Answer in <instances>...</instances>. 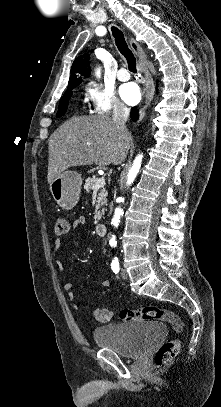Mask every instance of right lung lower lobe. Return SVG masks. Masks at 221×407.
<instances>
[{"label":"right lung lower lobe","instance_id":"right-lung-lower-lobe-1","mask_svg":"<svg viewBox=\"0 0 221 407\" xmlns=\"http://www.w3.org/2000/svg\"><path fill=\"white\" fill-rule=\"evenodd\" d=\"M157 91H158V89H157ZM131 118H132L133 121L137 120V118H138V109H137V107H133L131 109Z\"/></svg>","mask_w":221,"mask_h":407}]
</instances>
